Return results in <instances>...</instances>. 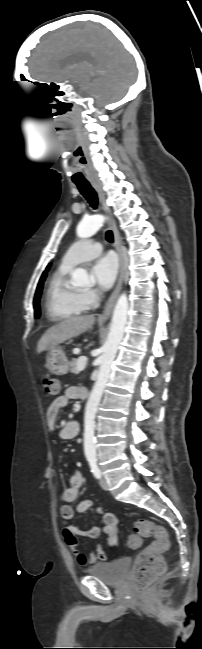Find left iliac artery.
I'll return each instance as SVG.
<instances>
[{
    "instance_id": "44dca946",
    "label": "left iliac artery",
    "mask_w": 202,
    "mask_h": 649,
    "mask_svg": "<svg viewBox=\"0 0 202 649\" xmlns=\"http://www.w3.org/2000/svg\"><path fill=\"white\" fill-rule=\"evenodd\" d=\"M88 461H89L91 472L93 473V475L96 478H100L101 477V471H100V469H99V467L97 465V458L94 455L89 456Z\"/></svg>"
}]
</instances>
